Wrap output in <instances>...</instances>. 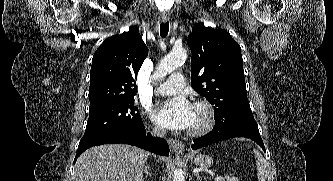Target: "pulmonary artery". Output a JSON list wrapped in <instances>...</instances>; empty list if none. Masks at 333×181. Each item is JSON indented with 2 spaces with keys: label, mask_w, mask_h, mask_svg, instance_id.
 <instances>
[{
  "label": "pulmonary artery",
  "mask_w": 333,
  "mask_h": 181,
  "mask_svg": "<svg viewBox=\"0 0 333 181\" xmlns=\"http://www.w3.org/2000/svg\"><path fill=\"white\" fill-rule=\"evenodd\" d=\"M185 86V79L181 74H173L157 90L158 94L169 96L179 93Z\"/></svg>",
  "instance_id": "pulmonary-artery-1"
}]
</instances>
